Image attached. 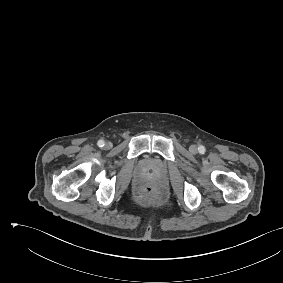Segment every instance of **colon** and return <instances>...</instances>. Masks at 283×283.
<instances>
[{"instance_id":"obj_1","label":"colon","mask_w":283,"mask_h":283,"mask_svg":"<svg viewBox=\"0 0 283 283\" xmlns=\"http://www.w3.org/2000/svg\"><path fill=\"white\" fill-rule=\"evenodd\" d=\"M156 194L157 193L153 188H145L138 193V196L143 199H152Z\"/></svg>"}]
</instances>
